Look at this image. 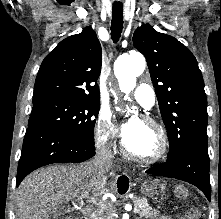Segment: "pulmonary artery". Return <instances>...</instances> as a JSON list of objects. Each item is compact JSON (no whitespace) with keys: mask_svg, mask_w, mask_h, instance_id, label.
Instances as JSON below:
<instances>
[{"mask_svg":"<svg viewBox=\"0 0 221 219\" xmlns=\"http://www.w3.org/2000/svg\"><path fill=\"white\" fill-rule=\"evenodd\" d=\"M133 96L137 102L146 109H151L155 104V95L148 85H140L133 91Z\"/></svg>","mask_w":221,"mask_h":219,"instance_id":"obj_1","label":"pulmonary artery"}]
</instances>
